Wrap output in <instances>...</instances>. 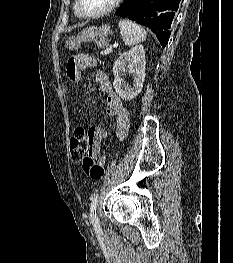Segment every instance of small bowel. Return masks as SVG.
Returning <instances> with one entry per match:
<instances>
[{
	"mask_svg": "<svg viewBox=\"0 0 233 263\" xmlns=\"http://www.w3.org/2000/svg\"><path fill=\"white\" fill-rule=\"evenodd\" d=\"M97 65V59L89 54H79L68 61L67 76L73 82H78L81 73L89 68ZM95 81L100 91L106 94V112L115 119L116 136L119 140H123L129 129V113L122 99L115 93L112 83L103 71L95 73ZM107 133L100 127H94L91 140V160L104 166L106 162L105 156H100L101 142L105 139Z\"/></svg>",
	"mask_w": 233,
	"mask_h": 263,
	"instance_id": "1",
	"label": "small bowel"
}]
</instances>
